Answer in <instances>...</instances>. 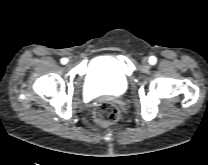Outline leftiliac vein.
<instances>
[{
    "label": "left iliac vein",
    "mask_w": 208,
    "mask_h": 165,
    "mask_svg": "<svg viewBox=\"0 0 208 165\" xmlns=\"http://www.w3.org/2000/svg\"><path fill=\"white\" fill-rule=\"evenodd\" d=\"M142 64H143L145 67L150 66L149 59H148L147 57L143 58V60H142Z\"/></svg>",
    "instance_id": "1"
}]
</instances>
